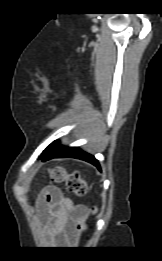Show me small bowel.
Returning <instances> with one entry per match:
<instances>
[{
  "instance_id": "c3829d8e",
  "label": "small bowel",
  "mask_w": 162,
  "mask_h": 261,
  "mask_svg": "<svg viewBox=\"0 0 162 261\" xmlns=\"http://www.w3.org/2000/svg\"><path fill=\"white\" fill-rule=\"evenodd\" d=\"M39 214L56 242L67 244L75 236L76 225L85 216L86 208L73 205L57 187L48 186L41 194Z\"/></svg>"
}]
</instances>
